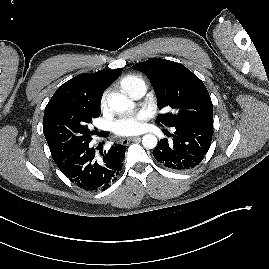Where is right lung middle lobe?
<instances>
[{
	"label": "right lung middle lobe",
	"mask_w": 269,
	"mask_h": 269,
	"mask_svg": "<svg viewBox=\"0 0 269 269\" xmlns=\"http://www.w3.org/2000/svg\"><path fill=\"white\" fill-rule=\"evenodd\" d=\"M100 116V108L55 107L44 112V136L52 158L56 160L73 148L90 142V124Z\"/></svg>",
	"instance_id": "obj_1"
}]
</instances>
